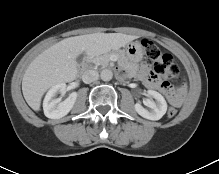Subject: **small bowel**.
<instances>
[{"label":"small bowel","mask_w":219,"mask_h":174,"mask_svg":"<svg viewBox=\"0 0 219 174\" xmlns=\"http://www.w3.org/2000/svg\"><path fill=\"white\" fill-rule=\"evenodd\" d=\"M138 76L147 87L160 90L173 108H180L183 105L185 100V91L183 88L169 87L153 75L146 65L140 67Z\"/></svg>","instance_id":"obj_1"}]
</instances>
